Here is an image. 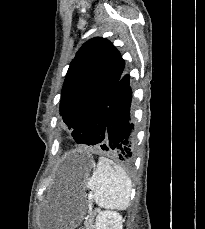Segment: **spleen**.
<instances>
[{
    "label": "spleen",
    "instance_id": "obj_1",
    "mask_svg": "<svg viewBox=\"0 0 205 229\" xmlns=\"http://www.w3.org/2000/svg\"><path fill=\"white\" fill-rule=\"evenodd\" d=\"M85 186L93 191L92 199L102 208L125 210L129 206L132 182L122 168L112 167L105 157L99 158Z\"/></svg>",
    "mask_w": 205,
    "mask_h": 229
}]
</instances>
